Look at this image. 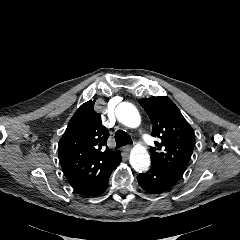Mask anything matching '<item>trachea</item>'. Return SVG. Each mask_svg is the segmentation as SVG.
<instances>
[{
    "label": "trachea",
    "mask_w": 240,
    "mask_h": 240,
    "mask_svg": "<svg viewBox=\"0 0 240 240\" xmlns=\"http://www.w3.org/2000/svg\"><path fill=\"white\" fill-rule=\"evenodd\" d=\"M115 141L116 148L132 143L130 136L123 130H118L115 132Z\"/></svg>",
    "instance_id": "3493384b"
}]
</instances>
